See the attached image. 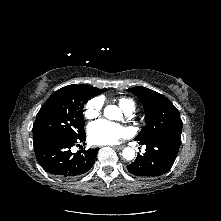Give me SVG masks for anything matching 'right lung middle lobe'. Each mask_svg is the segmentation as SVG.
I'll list each match as a JSON object with an SVG mask.
<instances>
[{
	"label": "right lung middle lobe",
	"instance_id": "obj_1",
	"mask_svg": "<svg viewBox=\"0 0 221 221\" xmlns=\"http://www.w3.org/2000/svg\"><path fill=\"white\" fill-rule=\"evenodd\" d=\"M90 97L75 85L54 92L41 107L33 125V144L51 140L72 141L85 134L83 106Z\"/></svg>",
	"mask_w": 221,
	"mask_h": 221
}]
</instances>
